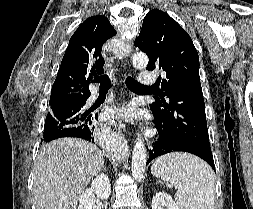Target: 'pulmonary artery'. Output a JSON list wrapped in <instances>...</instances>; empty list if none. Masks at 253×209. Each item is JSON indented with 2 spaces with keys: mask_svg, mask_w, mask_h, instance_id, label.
I'll return each instance as SVG.
<instances>
[{
  "mask_svg": "<svg viewBox=\"0 0 253 209\" xmlns=\"http://www.w3.org/2000/svg\"><path fill=\"white\" fill-rule=\"evenodd\" d=\"M140 81L145 86V85H152L155 82V79L150 72L144 71L140 74ZM97 97H98L97 94L91 95L88 102L93 103L97 99Z\"/></svg>",
  "mask_w": 253,
  "mask_h": 209,
  "instance_id": "pulmonary-artery-1",
  "label": "pulmonary artery"
}]
</instances>
